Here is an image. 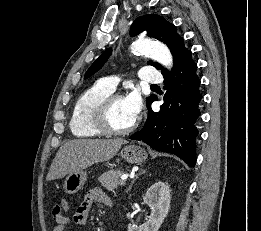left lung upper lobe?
<instances>
[{"label": "left lung upper lobe", "instance_id": "left-lung-upper-lobe-1", "mask_svg": "<svg viewBox=\"0 0 261 231\" xmlns=\"http://www.w3.org/2000/svg\"><path fill=\"white\" fill-rule=\"evenodd\" d=\"M146 30L149 37H153L161 42H164L170 49L173 59V69L189 54L191 51L188 50L184 45V40L176 32V28L173 24L167 22L162 16L156 14H147L138 17L131 27V35L135 36L142 31ZM110 56V49L106 50L87 70L85 78H88L99 70ZM148 65H153L155 68L162 71V74L168 73L160 64L152 61H148ZM155 95H151L146 99L147 106L153 101Z\"/></svg>", "mask_w": 261, "mask_h": 231}]
</instances>
